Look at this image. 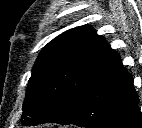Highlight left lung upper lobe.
I'll return each instance as SVG.
<instances>
[{
  "instance_id": "1",
  "label": "left lung upper lobe",
  "mask_w": 142,
  "mask_h": 128,
  "mask_svg": "<svg viewBox=\"0 0 142 128\" xmlns=\"http://www.w3.org/2000/svg\"><path fill=\"white\" fill-rule=\"evenodd\" d=\"M117 57L91 26H79L54 38L34 64L22 124L53 123L66 117L87 84Z\"/></svg>"
}]
</instances>
